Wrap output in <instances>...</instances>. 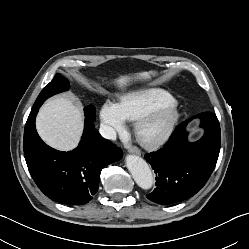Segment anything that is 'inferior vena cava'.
I'll return each instance as SVG.
<instances>
[{"mask_svg":"<svg viewBox=\"0 0 249 249\" xmlns=\"http://www.w3.org/2000/svg\"><path fill=\"white\" fill-rule=\"evenodd\" d=\"M99 132L106 139L116 140V131L111 126L101 124Z\"/></svg>","mask_w":249,"mask_h":249,"instance_id":"obj_1","label":"inferior vena cava"}]
</instances>
